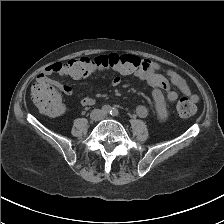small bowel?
<instances>
[{"label":"small bowel","instance_id":"c3829d8e","mask_svg":"<svg viewBox=\"0 0 224 224\" xmlns=\"http://www.w3.org/2000/svg\"><path fill=\"white\" fill-rule=\"evenodd\" d=\"M160 64L145 59L142 61L141 66L134 72V76L141 81L147 83L151 88V96L154 101L155 109L159 120L165 121L168 117L167 101L174 102L178 99L179 93L188 96L192 101H197V96L191 92V89L186 80L172 69L166 71L167 77L160 73ZM52 74L68 77L64 71L62 62H54L45 66L37 75L36 83H46L56 89L60 90L66 95L72 94V89L66 84H60L59 82L50 78ZM123 74L115 76L110 85L113 88L119 87L123 81ZM95 103V98L91 93L86 95L80 100L82 106H90ZM136 114L140 118H145L148 115V109L144 105H138L136 107Z\"/></svg>","mask_w":224,"mask_h":224}]
</instances>
